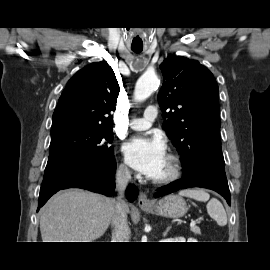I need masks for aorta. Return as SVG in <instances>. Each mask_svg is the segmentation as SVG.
<instances>
[{"label":"aorta","instance_id":"1","mask_svg":"<svg viewBox=\"0 0 270 270\" xmlns=\"http://www.w3.org/2000/svg\"><path fill=\"white\" fill-rule=\"evenodd\" d=\"M159 79L154 73H145L137 81L134 90V99L143 101L147 99L159 86Z\"/></svg>","mask_w":270,"mask_h":270}]
</instances>
